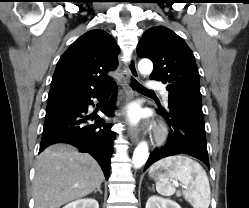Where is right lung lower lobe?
I'll list each match as a JSON object with an SVG mask.
<instances>
[{
	"mask_svg": "<svg viewBox=\"0 0 249 208\" xmlns=\"http://www.w3.org/2000/svg\"><path fill=\"white\" fill-rule=\"evenodd\" d=\"M103 91L86 97L48 103L40 152L51 144H72L81 152L91 154L108 179L115 139V133L111 131L112 124H104V120L99 116L86 115L88 105L93 104L91 98L100 99ZM114 110V101L108 102L101 108V111L108 116H113ZM89 119H95L96 123L89 124L87 122Z\"/></svg>",
	"mask_w": 249,
	"mask_h": 208,
	"instance_id": "obj_1",
	"label": "right lung lower lobe"
}]
</instances>
